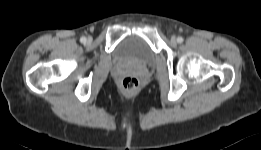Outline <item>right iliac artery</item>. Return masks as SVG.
<instances>
[{
    "instance_id": "right-iliac-artery-1",
    "label": "right iliac artery",
    "mask_w": 261,
    "mask_h": 150,
    "mask_svg": "<svg viewBox=\"0 0 261 150\" xmlns=\"http://www.w3.org/2000/svg\"><path fill=\"white\" fill-rule=\"evenodd\" d=\"M80 42L81 43H85L86 42V38L85 37H81Z\"/></svg>"
}]
</instances>
